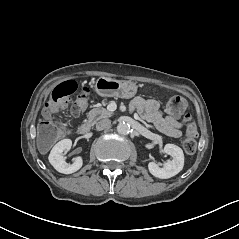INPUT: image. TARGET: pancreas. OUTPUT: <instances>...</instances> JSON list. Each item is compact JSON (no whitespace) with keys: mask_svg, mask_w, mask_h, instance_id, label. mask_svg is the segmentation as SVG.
<instances>
[{"mask_svg":"<svg viewBox=\"0 0 239 239\" xmlns=\"http://www.w3.org/2000/svg\"><path fill=\"white\" fill-rule=\"evenodd\" d=\"M113 115L114 112L108 111L104 107H96L88 113V122L93 125L96 124L97 121L103 118H110Z\"/></svg>","mask_w":239,"mask_h":239,"instance_id":"cf45deb5","label":"pancreas"}]
</instances>
